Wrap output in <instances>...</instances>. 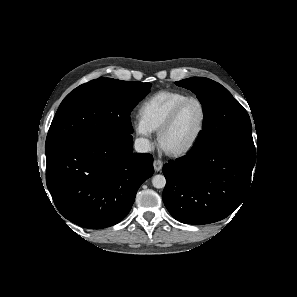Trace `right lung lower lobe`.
<instances>
[{"label": "right lung lower lobe", "mask_w": 297, "mask_h": 297, "mask_svg": "<svg viewBox=\"0 0 297 297\" xmlns=\"http://www.w3.org/2000/svg\"><path fill=\"white\" fill-rule=\"evenodd\" d=\"M131 135L68 145L48 156L46 183L60 213L79 226L101 229L130 211L138 188L153 174L148 153H133Z\"/></svg>", "instance_id": "1"}]
</instances>
